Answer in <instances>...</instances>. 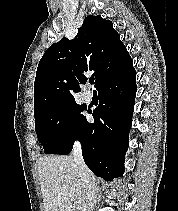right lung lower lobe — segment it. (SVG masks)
<instances>
[{
    "label": "right lung lower lobe",
    "instance_id": "obj_1",
    "mask_svg": "<svg viewBox=\"0 0 178 211\" xmlns=\"http://www.w3.org/2000/svg\"><path fill=\"white\" fill-rule=\"evenodd\" d=\"M136 91L133 67L103 83L98 88L99 106L93 113L94 123L85 120L73 139L53 154H69L77 139L86 165L96 176L106 181L122 176Z\"/></svg>",
    "mask_w": 178,
    "mask_h": 211
}]
</instances>
